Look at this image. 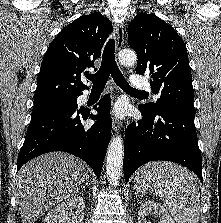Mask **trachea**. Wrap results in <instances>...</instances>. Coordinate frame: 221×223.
I'll return each mask as SVG.
<instances>
[{
    "instance_id": "trachea-1",
    "label": "trachea",
    "mask_w": 221,
    "mask_h": 223,
    "mask_svg": "<svg viewBox=\"0 0 221 223\" xmlns=\"http://www.w3.org/2000/svg\"><path fill=\"white\" fill-rule=\"evenodd\" d=\"M112 76L115 83L126 92L147 95L145 91H139L130 87L129 83L124 78L123 74L119 70L115 61V41L110 39L103 51L102 63L99 71L95 74L88 75L89 79L93 83V88H104L109 76Z\"/></svg>"
}]
</instances>
